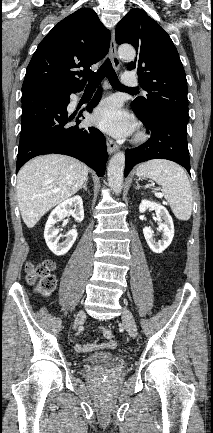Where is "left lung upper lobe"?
<instances>
[{
	"instance_id": "5c2ea615",
	"label": "left lung upper lobe",
	"mask_w": 213,
	"mask_h": 433,
	"mask_svg": "<svg viewBox=\"0 0 213 433\" xmlns=\"http://www.w3.org/2000/svg\"><path fill=\"white\" fill-rule=\"evenodd\" d=\"M116 42L129 43L137 51L128 70H135L145 97L132 101L142 116L172 113L189 120L187 80L178 51L169 35L141 9L130 10L116 27Z\"/></svg>"
}]
</instances>
